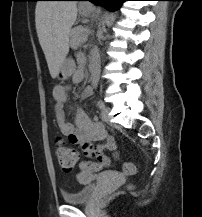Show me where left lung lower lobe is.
Instances as JSON below:
<instances>
[{"mask_svg":"<svg viewBox=\"0 0 202 217\" xmlns=\"http://www.w3.org/2000/svg\"><path fill=\"white\" fill-rule=\"evenodd\" d=\"M85 1H91L92 3H95L97 5L100 4L102 1L103 2H105V1H113L112 5L107 6L106 4H104V7L107 8L109 11H115L121 6V4L124 1H128V0H85Z\"/></svg>","mask_w":202,"mask_h":217,"instance_id":"1","label":"left lung lower lobe"}]
</instances>
